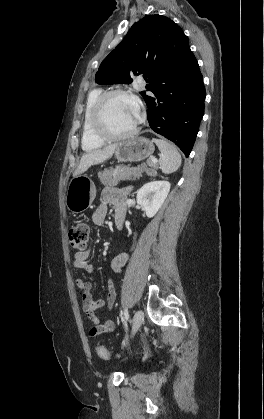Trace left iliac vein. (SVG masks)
I'll use <instances>...</instances> for the list:
<instances>
[{
    "label": "left iliac vein",
    "mask_w": 264,
    "mask_h": 419,
    "mask_svg": "<svg viewBox=\"0 0 264 419\" xmlns=\"http://www.w3.org/2000/svg\"><path fill=\"white\" fill-rule=\"evenodd\" d=\"M144 320V313L142 310H137L132 320V334H134L141 326Z\"/></svg>",
    "instance_id": "left-iliac-vein-1"
}]
</instances>
